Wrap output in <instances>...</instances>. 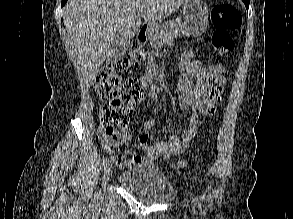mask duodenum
I'll return each mask as SVG.
<instances>
[{"instance_id": "obj_1", "label": "duodenum", "mask_w": 293, "mask_h": 219, "mask_svg": "<svg viewBox=\"0 0 293 219\" xmlns=\"http://www.w3.org/2000/svg\"><path fill=\"white\" fill-rule=\"evenodd\" d=\"M149 37V28L148 26L144 25L138 32L137 41L139 45L144 44ZM150 80L149 76H145L142 78V81L145 83Z\"/></svg>"}]
</instances>
